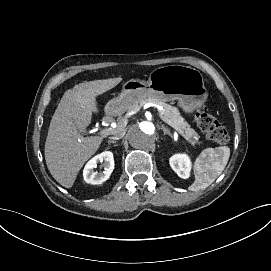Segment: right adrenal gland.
I'll return each mask as SVG.
<instances>
[{"instance_id": "obj_1", "label": "right adrenal gland", "mask_w": 271, "mask_h": 271, "mask_svg": "<svg viewBox=\"0 0 271 271\" xmlns=\"http://www.w3.org/2000/svg\"><path fill=\"white\" fill-rule=\"evenodd\" d=\"M111 143H112V144H115L116 141H114V140H109V141H108V144H111Z\"/></svg>"}]
</instances>
